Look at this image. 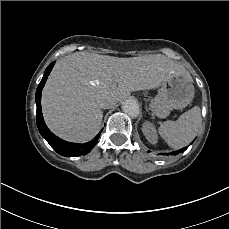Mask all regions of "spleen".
<instances>
[{
  "label": "spleen",
  "mask_w": 229,
  "mask_h": 229,
  "mask_svg": "<svg viewBox=\"0 0 229 229\" xmlns=\"http://www.w3.org/2000/svg\"><path fill=\"white\" fill-rule=\"evenodd\" d=\"M202 122L201 110L198 106L183 113L177 121H165L159 127V134L174 149L187 146L196 136Z\"/></svg>",
  "instance_id": "3e777b00"
}]
</instances>
